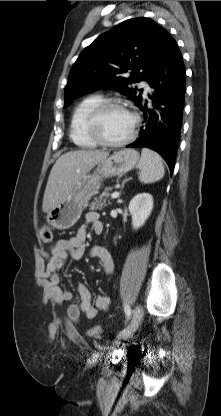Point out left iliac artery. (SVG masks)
<instances>
[{"mask_svg": "<svg viewBox=\"0 0 221 416\" xmlns=\"http://www.w3.org/2000/svg\"><path fill=\"white\" fill-rule=\"evenodd\" d=\"M124 311H125V314H126L127 318L129 319L130 316H131V308H130V306L127 305V304H125L124 305Z\"/></svg>", "mask_w": 221, "mask_h": 416, "instance_id": "1", "label": "left iliac artery"}]
</instances>
